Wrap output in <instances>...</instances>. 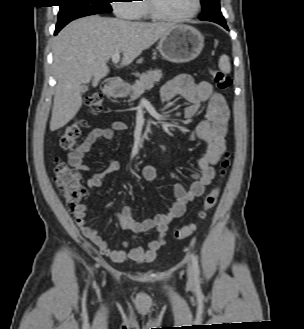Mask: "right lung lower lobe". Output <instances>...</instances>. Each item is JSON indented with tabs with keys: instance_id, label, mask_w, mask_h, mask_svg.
<instances>
[{
	"instance_id": "98d812e1",
	"label": "right lung lower lobe",
	"mask_w": 304,
	"mask_h": 329,
	"mask_svg": "<svg viewBox=\"0 0 304 329\" xmlns=\"http://www.w3.org/2000/svg\"><path fill=\"white\" fill-rule=\"evenodd\" d=\"M64 26H57L55 30V35L63 28Z\"/></svg>"
}]
</instances>
